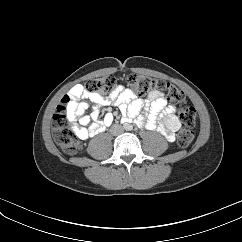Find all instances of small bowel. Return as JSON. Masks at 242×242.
<instances>
[{"instance_id": "c3829d8e", "label": "small bowel", "mask_w": 242, "mask_h": 242, "mask_svg": "<svg viewBox=\"0 0 242 242\" xmlns=\"http://www.w3.org/2000/svg\"><path fill=\"white\" fill-rule=\"evenodd\" d=\"M70 100L63 102L67 118L73 122V128L82 140L102 132L106 126L111 125L114 116L106 113L103 119L99 118L100 109L103 106L113 104L117 106L125 120H134L138 125H144L148 129L159 128L160 132L168 141L175 139V132L180 128V122L176 116V109L169 105L162 92L155 91L146 99H136L129 90L119 88L109 97H103L97 93L87 92L77 85L68 94ZM91 112H88L89 105ZM145 109L143 115H139L141 109ZM159 120L162 123L158 125Z\"/></svg>"}]
</instances>
